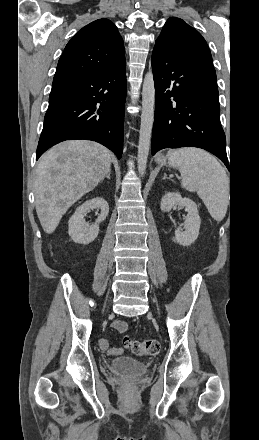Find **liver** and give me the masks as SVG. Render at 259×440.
Listing matches in <instances>:
<instances>
[{
	"label": "liver",
	"instance_id": "liver-1",
	"mask_svg": "<svg viewBox=\"0 0 259 440\" xmlns=\"http://www.w3.org/2000/svg\"><path fill=\"white\" fill-rule=\"evenodd\" d=\"M111 162L112 153L106 147L88 140L64 141L42 155L35 171V205L47 234L104 179Z\"/></svg>",
	"mask_w": 259,
	"mask_h": 440
}]
</instances>
